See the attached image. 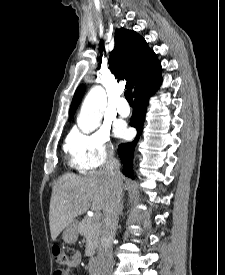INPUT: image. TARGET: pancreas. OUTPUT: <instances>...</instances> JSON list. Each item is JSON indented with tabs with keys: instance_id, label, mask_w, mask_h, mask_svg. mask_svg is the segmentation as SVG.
<instances>
[{
	"instance_id": "obj_1",
	"label": "pancreas",
	"mask_w": 225,
	"mask_h": 275,
	"mask_svg": "<svg viewBox=\"0 0 225 275\" xmlns=\"http://www.w3.org/2000/svg\"><path fill=\"white\" fill-rule=\"evenodd\" d=\"M100 222L96 218H85L78 225V232L86 239L87 256H93L99 241Z\"/></svg>"
}]
</instances>
